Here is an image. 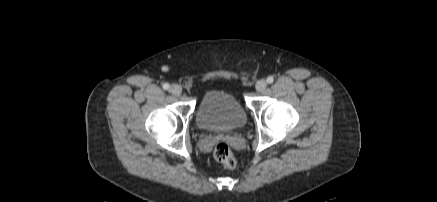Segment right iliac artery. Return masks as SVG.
Masks as SVG:
<instances>
[{
  "mask_svg": "<svg viewBox=\"0 0 437 202\" xmlns=\"http://www.w3.org/2000/svg\"><path fill=\"white\" fill-rule=\"evenodd\" d=\"M169 84L168 83H165V84H163V89H165V90H168L169 89Z\"/></svg>",
  "mask_w": 437,
  "mask_h": 202,
  "instance_id": "82829eb1",
  "label": "right iliac artery"
}]
</instances>
